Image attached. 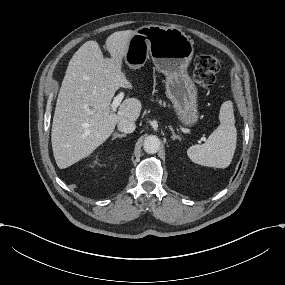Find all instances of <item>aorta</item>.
<instances>
[{
	"label": "aorta",
	"mask_w": 285,
	"mask_h": 285,
	"mask_svg": "<svg viewBox=\"0 0 285 285\" xmlns=\"http://www.w3.org/2000/svg\"><path fill=\"white\" fill-rule=\"evenodd\" d=\"M160 139L155 135H149L146 137L143 143L145 152L148 154H155L160 149Z\"/></svg>",
	"instance_id": "1"
}]
</instances>
